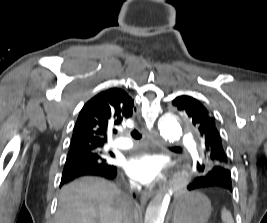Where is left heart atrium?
<instances>
[{"label":"left heart atrium","instance_id":"left-heart-atrium-1","mask_svg":"<svg viewBox=\"0 0 267 223\" xmlns=\"http://www.w3.org/2000/svg\"><path fill=\"white\" fill-rule=\"evenodd\" d=\"M163 166V160L156 155L138 154L129 158L124 167L131 178L150 185L160 177Z\"/></svg>","mask_w":267,"mask_h":223}]
</instances>
